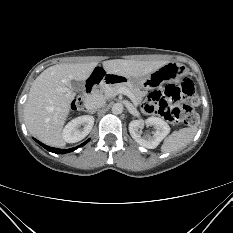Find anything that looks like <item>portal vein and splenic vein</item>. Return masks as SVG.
Masks as SVG:
<instances>
[{"label":"portal vein and splenic vein","mask_w":233,"mask_h":233,"mask_svg":"<svg viewBox=\"0 0 233 233\" xmlns=\"http://www.w3.org/2000/svg\"><path fill=\"white\" fill-rule=\"evenodd\" d=\"M118 93L126 95V96L129 97L132 101H133V99H134L133 94H132L128 89L122 88V89H120V90L118 91Z\"/></svg>","instance_id":"1"}]
</instances>
